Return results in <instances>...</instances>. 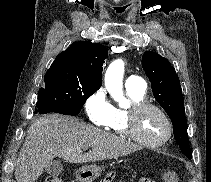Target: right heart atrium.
<instances>
[{"instance_id":"obj_1","label":"right heart atrium","mask_w":211,"mask_h":182,"mask_svg":"<svg viewBox=\"0 0 211 182\" xmlns=\"http://www.w3.org/2000/svg\"><path fill=\"white\" fill-rule=\"evenodd\" d=\"M113 105L103 88H99L87 97L84 109L89 121L96 126H104L111 114Z\"/></svg>"}]
</instances>
